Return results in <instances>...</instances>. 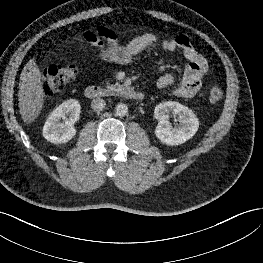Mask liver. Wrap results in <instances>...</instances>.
Listing matches in <instances>:
<instances>
[{"mask_svg":"<svg viewBox=\"0 0 263 263\" xmlns=\"http://www.w3.org/2000/svg\"><path fill=\"white\" fill-rule=\"evenodd\" d=\"M43 77L34 59L24 66L19 82V109L22 120L32 123L40 114L44 104Z\"/></svg>","mask_w":263,"mask_h":263,"instance_id":"1","label":"liver"}]
</instances>
